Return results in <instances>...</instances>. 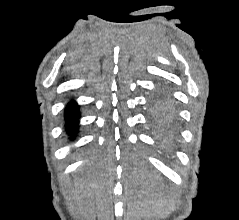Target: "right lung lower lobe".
<instances>
[{"label":"right lung lower lobe","mask_w":239,"mask_h":220,"mask_svg":"<svg viewBox=\"0 0 239 220\" xmlns=\"http://www.w3.org/2000/svg\"><path fill=\"white\" fill-rule=\"evenodd\" d=\"M78 118H79V110L76 103L71 102L67 105L65 111V119L67 122L66 128L71 136L76 134V130L78 128Z\"/></svg>","instance_id":"1"}]
</instances>
